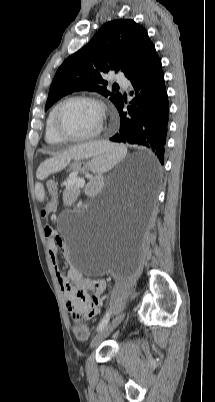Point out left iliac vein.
Masks as SVG:
<instances>
[{
  "label": "left iliac vein",
  "instance_id": "4c4485c4",
  "mask_svg": "<svg viewBox=\"0 0 215 402\" xmlns=\"http://www.w3.org/2000/svg\"><path fill=\"white\" fill-rule=\"evenodd\" d=\"M125 313L115 317L109 324L101 329L92 339L90 347H97L125 318Z\"/></svg>",
  "mask_w": 215,
  "mask_h": 402
}]
</instances>
